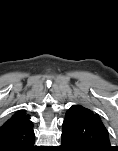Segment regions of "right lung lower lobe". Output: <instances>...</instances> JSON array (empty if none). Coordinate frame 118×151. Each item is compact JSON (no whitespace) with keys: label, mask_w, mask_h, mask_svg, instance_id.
Here are the masks:
<instances>
[{"label":"right lung lower lobe","mask_w":118,"mask_h":151,"mask_svg":"<svg viewBox=\"0 0 118 151\" xmlns=\"http://www.w3.org/2000/svg\"><path fill=\"white\" fill-rule=\"evenodd\" d=\"M33 144H34V142L31 145H29L28 147H26V148H24L20 151H34V150H37Z\"/></svg>","instance_id":"1"}]
</instances>
